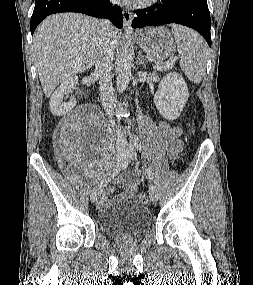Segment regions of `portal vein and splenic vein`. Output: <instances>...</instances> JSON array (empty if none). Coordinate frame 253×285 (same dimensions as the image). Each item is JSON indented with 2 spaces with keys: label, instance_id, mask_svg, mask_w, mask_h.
<instances>
[{
  "label": "portal vein and splenic vein",
  "instance_id": "1",
  "mask_svg": "<svg viewBox=\"0 0 253 285\" xmlns=\"http://www.w3.org/2000/svg\"><path fill=\"white\" fill-rule=\"evenodd\" d=\"M176 59H177V57H174L170 62L166 63V65L157 64L156 66H153V68H155L157 70L169 69L173 66Z\"/></svg>",
  "mask_w": 253,
  "mask_h": 285
}]
</instances>
